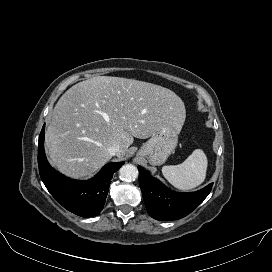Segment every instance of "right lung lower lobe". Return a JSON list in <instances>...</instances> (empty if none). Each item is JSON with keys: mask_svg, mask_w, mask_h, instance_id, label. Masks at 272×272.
I'll return each instance as SVG.
<instances>
[{"mask_svg": "<svg viewBox=\"0 0 272 272\" xmlns=\"http://www.w3.org/2000/svg\"><path fill=\"white\" fill-rule=\"evenodd\" d=\"M43 126L38 145L40 177L52 196L68 211L81 216H96L102 210L113 177L124 162L109 163L92 179L78 181L56 172L48 163L44 152Z\"/></svg>", "mask_w": 272, "mask_h": 272, "instance_id": "98d812e1", "label": "right lung lower lobe"}]
</instances>
